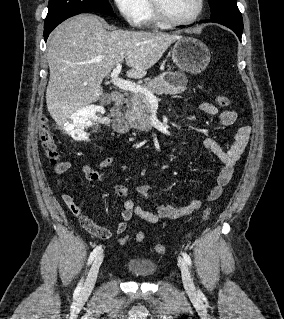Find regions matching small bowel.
Instances as JSON below:
<instances>
[{
    "label": "small bowel",
    "mask_w": 284,
    "mask_h": 319,
    "mask_svg": "<svg viewBox=\"0 0 284 319\" xmlns=\"http://www.w3.org/2000/svg\"><path fill=\"white\" fill-rule=\"evenodd\" d=\"M199 108L207 115L218 116L221 123L225 126H232L237 121L236 112H219L217 107L212 103L203 102L200 104ZM250 133L251 129L248 126L238 128L234 134L232 143L227 149H224L214 139L207 138L204 140V147L214 153L223 163V167L217 175L216 184L206 196L207 201L211 202L218 199L223 192V188L231 181L234 174V167L248 145ZM71 166L72 164L70 161L63 160L54 167V172L59 176L70 169ZM82 172L86 179L91 182H101L106 177L105 173L94 170L89 164H83ZM115 192L122 202L121 221L116 228L117 234H122L126 230L127 223L134 215L148 223L156 224L161 219L178 220L187 217L195 210L199 209L203 203L202 199H194L188 205L184 206L153 203L154 210L150 211L136 205L132 200L127 198L128 188L125 185H117ZM138 192L145 200H151L150 186L148 184L140 185L138 187ZM62 198L67 208L78 218L80 224L88 233L100 239H108L112 236V231L93 222V220L77 206L71 195L64 194Z\"/></svg>",
    "instance_id": "1"
}]
</instances>
